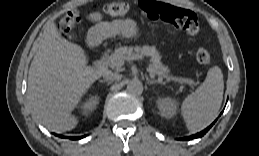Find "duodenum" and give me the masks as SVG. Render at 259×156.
<instances>
[{"label":"duodenum","instance_id":"obj_1","mask_svg":"<svg viewBox=\"0 0 259 156\" xmlns=\"http://www.w3.org/2000/svg\"><path fill=\"white\" fill-rule=\"evenodd\" d=\"M107 55H108V52L106 51L102 54V56L98 60H96L94 62V65H95L96 68H98V69H104L105 68L106 62H107Z\"/></svg>","mask_w":259,"mask_h":156}]
</instances>
